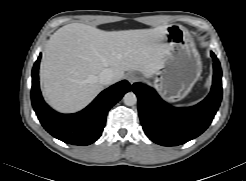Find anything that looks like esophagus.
Masks as SVG:
<instances>
[{"label":"esophagus","instance_id":"34e87169","mask_svg":"<svg viewBox=\"0 0 246 181\" xmlns=\"http://www.w3.org/2000/svg\"><path fill=\"white\" fill-rule=\"evenodd\" d=\"M139 77L136 73H130L127 75L128 82L132 85L136 81H138Z\"/></svg>","mask_w":246,"mask_h":181}]
</instances>
